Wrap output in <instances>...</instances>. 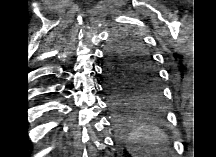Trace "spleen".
<instances>
[{"instance_id":"obj_1","label":"spleen","mask_w":216,"mask_h":157,"mask_svg":"<svg viewBox=\"0 0 216 157\" xmlns=\"http://www.w3.org/2000/svg\"><path fill=\"white\" fill-rule=\"evenodd\" d=\"M124 137L127 150L133 157L160 155V150L170 147L166 133L159 127L145 121L137 120L133 129Z\"/></svg>"}]
</instances>
